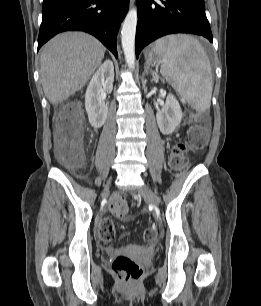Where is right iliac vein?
<instances>
[{
	"mask_svg": "<svg viewBox=\"0 0 261 306\" xmlns=\"http://www.w3.org/2000/svg\"><path fill=\"white\" fill-rule=\"evenodd\" d=\"M108 192H109V185L105 187L103 194L106 195Z\"/></svg>",
	"mask_w": 261,
	"mask_h": 306,
	"instance_id": "63e3f726",
	"label": "right iliac vein"
}]
</instances>
